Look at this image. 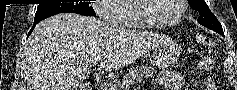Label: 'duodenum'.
I'll return each mask as SVG.
<instances>
[{
	"instance_id": "1",
	"label": "duodenum",
	"mask_w": 237,
	"mask_h": 90,
	"mask_svg": "<svg viewBox=\"0 0 237 90\" xmlns=\"http://www.w3.org/2000/svg\"><path fill=\"white\" fill-rule=\"evenodd\" d=\"M99 90H113L112 87H99Z\"/></svg>"
}]
</instances>
